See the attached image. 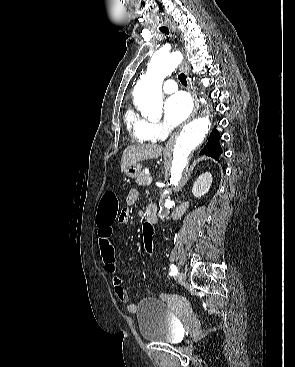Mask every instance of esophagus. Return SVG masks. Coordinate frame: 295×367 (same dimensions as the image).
<instances>
[{
	"mask_svg": "<svg viewBox=\"0 0 295 367\" xmlns=\"http://www.w3.org/2000/svg\"><path fill=\"white\" fill-rule=\"evenodd\" d=\"M170 29L172 30V32H176V27L174 26V25H171L170 26ZM180 69L186 74V75H188L189 74V67H188V65H187V63L185 62V61H182L181 62V64H180ZM188 90L190 91V93H191V95H192V97H193V101H194V107H193V111H192V113H191V115L189 116V118H188V121L189 120H191L194 116H195V114H196V112H197V110H198V107H199V102H198V98H197V94H196V92H195V90H194V88H193V86H192V83H191V81L190 80H188ZM178 133H179V130H177L172 136H171V138L168 140V142H167V144H166V146H165V151L166 152H169V151H171L172 150V148H173V146H174V143H175V140H176V138H177V136H178Z\"/></svg>",
	"mask_w": 295,
	"mask_h": 367,
	"instance_id": "esophagus-1",
	"label": "esophagus"
}]
</instances>
